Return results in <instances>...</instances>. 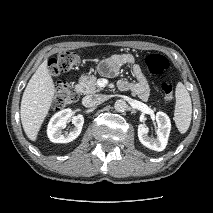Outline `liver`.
Here are the masks:
<instances>
[{
	"mask_svg": "<svg viewBox=\"0 0 213 213\" xmlns=\"http://www.w3.org/2000/svg\"><path fill=\"white\" fill-rule=\"evenodd\" d=\"M55 87L43 61L29 80L21 100L20 116L23 129L31 141H36L41 125L48 114Z\"/></svg>",
	"mask_w": 213,
	"mask_h": 213,
	"instance_id": "obj_1",
	"label": "liver"
}]
</instances>
